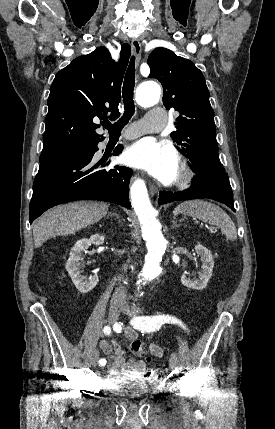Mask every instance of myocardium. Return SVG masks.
<instances>
[{
  "label": "myocardium",
  "instance_id": "1",
  "mask_svg": "<svg viewBox=\"0 0 275 429\" xmlns=\"http://www.w3.org/2000/svg\"><path fill=\"white\" fill-rule=\"evenodd\" d=\"M194 178L195 173L192 167L185 160H181L175 180L177 187L181 189L189 187L194 181Z\"/></svg>",
  "mask_w": 275,
  "mask_h": 429
}]
</instances>
